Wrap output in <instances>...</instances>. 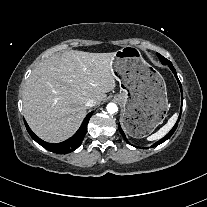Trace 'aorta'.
<instances>
[{
	"label": "aorta",
	"instance_id": "aorta-1",
	"mask_svg": "<svg viewBox=\"0 0 207 207\" xmlns=\"http://www.w3.org/2000/svg\"><path fill=\"white\" fill-rule=\"evenodd\" d=\"M106 109H107V112L109 114H114V113H116L118 111V107H117V105L115 103H109L107 105Z\"/></svg>",
	"mask_w": 207,
	"mask_h": 207
}]
</instances>
